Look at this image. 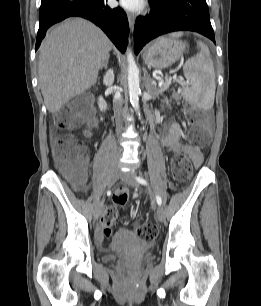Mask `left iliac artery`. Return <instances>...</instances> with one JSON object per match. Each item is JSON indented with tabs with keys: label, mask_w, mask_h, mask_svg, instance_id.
<instances>
[{
	"label": "left iliac artery",
	"mask_w": 261,
	"mask_h": 306,
	"mask_svg": "<svg viewBox=\"0 0 261 306\" xmlns=\"http://www.w3.org/2000/svg\"><path fill=\"white\" fill-rule=\"evenodd\" d=\"M136 180L138 181V183H140L142 185H147L148 184L147 181L143 177H141V176H136ZM156 201H157L158 205L162 204V199L158 195L156 196Z\"/></svg>",
	"instance_id": "1"
}]
</instances>
